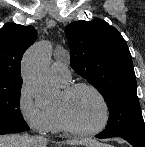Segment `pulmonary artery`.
I'll list each match as a JSON object with an SVG mask.
<instances>
[{"label": "pulmonary artery", "mask_w": 145, "mask_h": 147, "mask_svg": "<svg viewBox=\"0 0 145 147\" xmlns=\"http://www.w3.org/2000/svg\"><path fill=\"white\" fill-rule=\"evenodd\" d=\"M50 72L52 77L62 85H66L71 78L68 65L59 60L52 63Z\"/></svg>", "instance_id": "e3ab8cb5"}]
</instances>
